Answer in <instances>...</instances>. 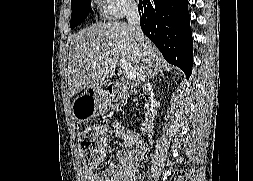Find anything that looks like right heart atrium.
Returning a JSON list of instances; mask_svg holds the SVG:
<instances>
[{"mask_svg":"<svg viewBox=\"0 0 253 181\" xmlns=\"http://www.w3.org/2000/svg\"><path fill=\"white\" fill-rule=\"evenodd\" d=\"M105 12L112 18H120L137 9L136 0H101Z\"/></svg>","mask_w":253,"mask_h":181,"instance_id":"obj_1","label":"right heart atrium"}]
</instances>
